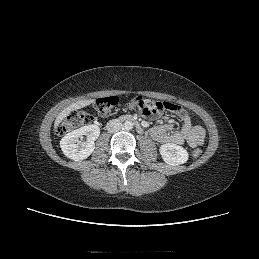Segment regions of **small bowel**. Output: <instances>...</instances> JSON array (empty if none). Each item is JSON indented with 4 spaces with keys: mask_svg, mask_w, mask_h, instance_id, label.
I'll list each match as a JSON object with an SVG mask.
<instances>
[{
    "mask_svg": "<svg viewBox=\"0 0 259 259\" xmlns=\"http://www.w3.org/2000/svg\"><path fill=\"white\" fill-rule=\"evenodd\" d=\"M173 112L182 122L181 130L174 131V126L171 123L159 124L151 129L152 138L159 144H183L186 142L192 148L203 145L205 140L204 127L199 123H194L188 112L181 106H176Z\"/></svg>",
    "mask_w": 259,
    "mask_h": 259,
    "instance_id": "c3829d8e",
    "label": "small bowel"
}]
</instances>
